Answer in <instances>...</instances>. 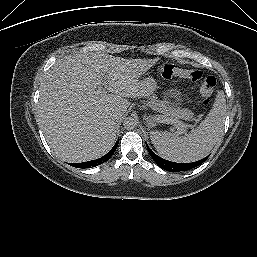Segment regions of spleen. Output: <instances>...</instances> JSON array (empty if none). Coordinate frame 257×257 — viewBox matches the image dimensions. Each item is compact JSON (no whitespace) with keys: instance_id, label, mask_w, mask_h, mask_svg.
<instances>
[{"instance_id":"obj_1","label":"spleen","mask_w":257,"mask_h":257,"mask_svg":"<svg viewBox=\"0 0 257 257\" xmlns=\"http://www.w3.org/2000/svg\"><path fill=\"white\" fill-rule=\"evenodd\" d=\"M226 100L220 91L212 109L198 127L179 136L167 131H151L150 138L163 158L180 163L194 162L206 157L223 133Z\"/></svg>"}]
</instances>
